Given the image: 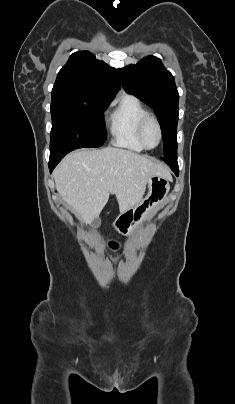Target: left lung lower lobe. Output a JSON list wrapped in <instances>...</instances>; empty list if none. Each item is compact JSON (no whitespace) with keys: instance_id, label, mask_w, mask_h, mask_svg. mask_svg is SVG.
I'll return each instance as SVG.
<instances>
[{"instance_id":"obj_1","label":"left lung lower lobe","mask_w":235,"mask_h":404,"mask_svg":"<svg viewBox=\"0 0 235 404\" xmlns=\"http://www.w3.org/2000/svg\"><path fill=\"white\" fill-rule=\"evenodd\" d=\"M163 161H165L172 169V171L175 173L176 176L179 175V168H178V162L177 160H171V159H163L161 158Z\"/></svg>"}]
</instances>
